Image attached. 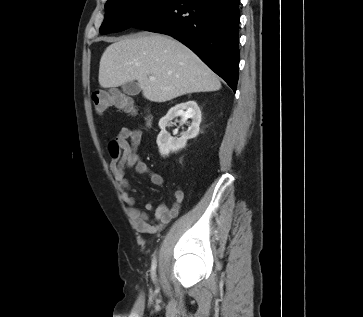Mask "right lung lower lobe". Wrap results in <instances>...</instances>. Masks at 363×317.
I'll return each mask as SVG.
<instances>
[{
    "label": "right lung lower lobe",
    "instance_id": "1",
    "mask_svg": "<svg viewBox=\"0 0 363 317\" xmlns=\"http://www.w3.org/2000/svg\"><path fill=\"white\" fill-rule=\"evenodd\" d=\"M240 0H177L135 28L170 35L236 91Z\"/></svg>",
    "mask_w": 363,
    "mask_h": 317
}]
</instances>
